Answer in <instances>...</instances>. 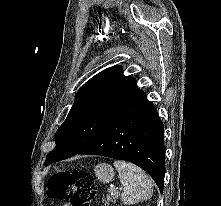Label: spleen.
I'll return each instance as SVG.
<instances>
[{
  "mask_svg": "<svg viewBox=\"0 0 221 206\" xmlns=\"http://www.w3.org/2000/svg\"><path fill=\"white\" fill-rule=\"evenodd\" d=\"M114 166L123 185L121 200L124 204L132 205L152 197V181L141 168L121 160L114 161Z\"/></svg>",
  "mask_w": 221,
  "mask_h": 206,
  "instance_id": "3e777b00",
  "label": "spleen"
}]
</instances>
